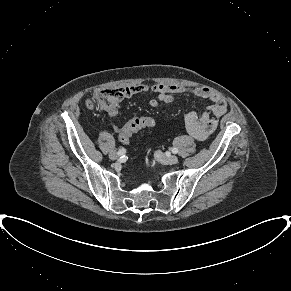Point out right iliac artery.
Returning <instances> with one entry per match:
<instances>
[{
  "mask_svg": "<svg viewBox=\"0 0 291 291\" xmlns=\"http://www.w3.org/2000/svg\"><path fill=\"white\" fill-rule=\"evenodd\" d=\"M125 152H126V149L125 148H120L117 153L119 155H123V154H125Z\"/></svg>",
  "mask_w": 291,
  "mask_h": 291,
  "instance_id": "82829eb1",
  "label": "right iliac artery"
}]
</instances>
